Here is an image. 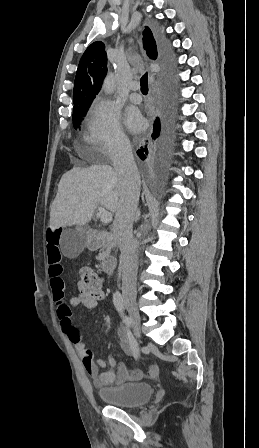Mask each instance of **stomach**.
<instances>
[{
    "label": "stomach",
    "instance_id": "0dacf381",
    "mask_svg": "<svg viewBox=\"0 0 259 448\" xmlns=\"http://www.w3.org/2000/svg\"><path fill=\"white\" fill-rule=\"evenodd\" d=\"M79 232H84V228H78Z\"/></svg>",
    "mask_w": 259,
    "mask_h": 448
}]
</instances>
